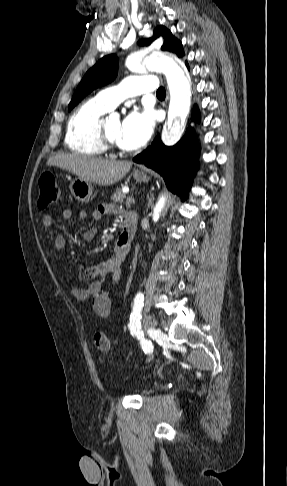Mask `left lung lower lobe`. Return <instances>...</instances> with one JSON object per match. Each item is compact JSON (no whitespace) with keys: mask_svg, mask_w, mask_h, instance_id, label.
<instances>
[{"mask_svg":"<svg viewBox=\"0 0 287 486\" xmlns=\"http://www.w3.org/2000/svg\"><path fill=\"white\" fill-rule=\"evenodd\" d=\"M186 66L189 69L187 62ZM192 119L199 120L197 106L193 109ZM198 157L199 146L193 139L192 128H188L184 137L172 147L165 146L157 136L152 145L133 161L160 173L167 187L185 200L198 168Z\"/></svg>","mask_w":287,"mask_h":486,"instance_id":"1","label":"left lung lower lobe"}]
</instances>
